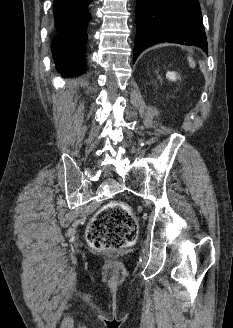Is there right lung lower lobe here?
<instances>
[{
  "label": "right lung lower lobe",
  "mask_w": 233,
  "mask_h": 328,
  "mask_svg": "<svg viewBox=\"0 0 233 328\" xmlns=\"http://www.w3.org/2000/svg\"><path fill=\"white\" fill-rule=\"evenodd\" d=\"M92 0H54L55 37L52 54L56 68L64 77L84 73L86 28Z\"/></svg>",
  "instance_id": "1"
}]
</instances>
